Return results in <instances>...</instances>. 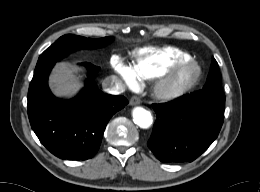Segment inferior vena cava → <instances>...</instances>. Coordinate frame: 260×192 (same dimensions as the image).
Segmentation results:
<instances>
[{"label":"inferior vena cava","mask_w":260,"mask_h":192,"mask_svg":"<svg viewBox=\"0 0 260 192\" xmlns=\"http://www.w3.org/2000/svg\"><path fill=\"white\" fill-rule=\"evenodd\" d=\"M103 90L106 93L118 95L125 91V84L116 76H108L102 82Z\"/></svg>","instance_id":"obj_1"}]
</instances>
